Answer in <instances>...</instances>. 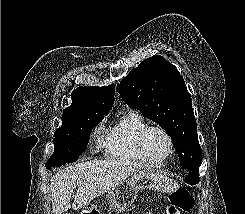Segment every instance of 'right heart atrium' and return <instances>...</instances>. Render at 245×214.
<instances>
[{
    "mask_svg": "<svg viewBox=\"0 0 245 214\" xmlns=\"http://www.w3.org/2000/svg\"><path fill=\"white\" fill-rule=\"evenodd\" d=\"M102 126L101 125H99V126H97L95 129H94V131H93V135L94 136H96V137H99L100 136V134L102 133Z\"/></svg>",
    "mask_w": 245,
    "mask_h": 214,
    "instance_id": "1",
    "label": "right heart atrium"
}]
</instances>
